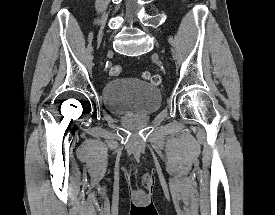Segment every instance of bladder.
<instances>
[{
	"instance_id": "1",
	"label": "bladder",
	"mask_w": 275,
	"mask_h": 215,
	"mask_svg": "<svg viewBox=\"0 0 275 215\" xmlns=\"http://www.w3.org/2000/svg\"><path fill=\"white\" fill-rule=\"evenodd\" d=\"M103 103L119 116H148L161 105V93L147 80L112 79L102 89Z\"/></svg>"
}]
</instances>
